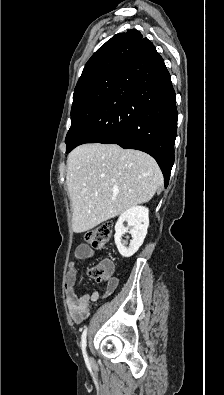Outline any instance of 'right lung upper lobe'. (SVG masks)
<instances>
[{
  "mask_svg": "<svg viewBox=\"0 0 224 395\" xmlns=\"http://www.w3.org/2000/svg\"><path fill=\"white\" fill-rule=\"evenodd\" d=\"M144 39L136 29L114 35L88 60L75 89L103 75L122 72Z\"/></svg>",
  "mask_w": 224,
  "mask_h": 395,
  "instance_id": "obj_1",
  "label": "right lung upper lobe"
}]
</instances>
